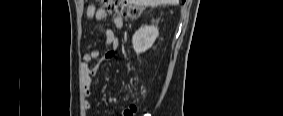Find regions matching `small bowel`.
Instances as JSON below:
<instances>
[{"label": "small bowel", "instance_id": "small-bowel-1", "mask_svg": "<svg viewBox=\"0 0 283 116\" xmlns=\"http://www.w3.org/2000/svg\"><path fill=\"white\" fill-rule=\"evenodd\" d=\"M86 18L88 20L96 19L98 21H104L109 18L112 19L113 24L116 29H121L123 27V20L119 16L111 17L107 10L103 7H98L94 4L89 5L85 12ZM119 47V40L114 30L107 28L105 30V44L104 48L107 50L105 59H110L114 55V51ZM100 52L98 49L91 50L90 52L84 54L82 62L80 64V71L82 73L83 87L85 95L90 97L93 93L92 86V76L95 75L99 69V63L90 66V63L98 60ZM85 108L87 110L91 109V104L89 102L85 103Z\"/></svg>", "mask_w": 283, "mask_h": 116}]
</instances>
